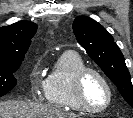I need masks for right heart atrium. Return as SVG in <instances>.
Listing matches in <instances>:
<instances>
[{
	"label": "right heart atrium",
	"mask_w": 133,
	"mask_h": 118,
	"mask_svg": "<svg viewBox=\"0 0 133 118\" xmlns=\"http://www.w3.org/2000/svg\"><path fill=\"white\" fill-rule=\"evenodd\" d=\"M31 89L34 96L39 97L45 93L46 79L38 65H34L30 73Z\"/></svg>",
	"instance_id": "d8ad5b80"
}]
</instances>
